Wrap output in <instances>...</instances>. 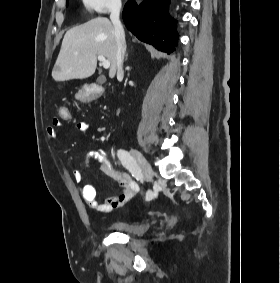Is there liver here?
I'll list each match as a JSON object with an SVG mask.
<instances>
[{
	"label": "liver",
	"instance_id": "obj_1",
	"mask_svg": "<svg viewBox=\"0 0 280 283\" xmlns=\"http://www.w3.org/2000/svg\"><path fill=\"white\" fill-rule=\"evenodd\" d=\"M116 53L113 24L105 17L92 19L66 32L52 77L55 81L90 77L96 70L100 54L110 61L109 77L113 78L117 70Z\"/></svg>",
	"mask_w": 280,
	"mask_h": 283
}]
</instances>
